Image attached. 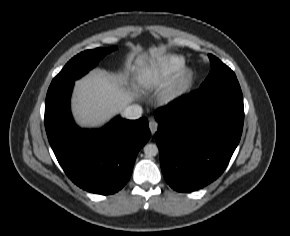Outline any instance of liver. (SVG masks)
<instances>
[{
  "mask_svg": "<svg viewBox=\"0 0 290 236\" xmlns=\"http://www.w3.org/2000/svg\"><path fill=\"white\" fill-rule=\"evenodd\" d=\"M151 59L160 56L163 48L149 50ZM136 81L127 88L123 75L111 74L95 69L76 81L71 101L75 121L81 127L98 128L103 126L117 113L122 112L135 101L149 84L148 56L141 54L136 60Z\"/></svg>",
  "mask_w": 290,
  "mask_h": 236,
  "instance_id": "6515ba94",
  "label": "liver"
}]
</instances>
